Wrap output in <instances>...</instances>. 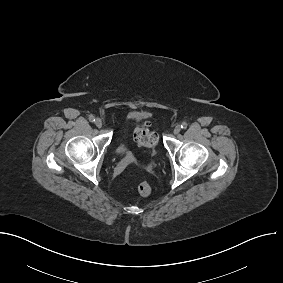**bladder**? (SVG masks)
<instances>
[{"mask_svg": "<svg viewBox=\"0 0 283 283\" xmlns=\"http://www.w3.org/2000/svg\"><path fill=\"white\" fill-rule=\"evenodd\" d=\"M154 135V144L153 146L155 147L157 145V136L156 134ZM115 153L118 157L120 158H127V159H131L135 157L134 152L131 150V148L129 147V145L127 144V142L122 139L116 146L115 148Z\"/></svg>", "mask_w": 283, "mask_h": 283, "instance_id": "bladder-1", "label": "bladder"}]
</instances>
